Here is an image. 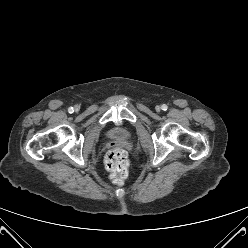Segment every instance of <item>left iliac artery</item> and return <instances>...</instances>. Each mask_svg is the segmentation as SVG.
<instances>
[{"instance_id":"1","label":"left iliac artery","mask_w":248,"mask_h":248,"mask_svg":"<svg viewBox=\"0 0 248 248\" xmlns=\"http://www.w3.org/2000/svg\"><path fill=\"white\" fill-rule=\"evenodd\" d=\"M161 108H162V110L166 111V110L168 109V106L165 105V104H163V105L161 106Z\"/></svg>"}]
</instances>
